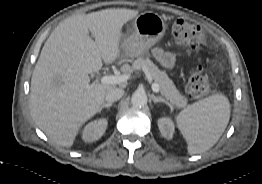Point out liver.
Segmentation results:
<instances>
[{"label":"liver","mask_w":262,"mask_h":184,"mask_svg":"<svg viewBox=\"0 0 262 184\" xmlns=\"http://www.w3.org/2000/svg\"><path fill=\"white\" fill-rule=\"evenodd\" d=\"M137 14L131 9H105L74 15L50 34L32 74L29 105L36 125L55 144L71 147L82 125L115 88L90 84L89 74L99 71L102 61L110 64L120 57L122 27Z\"/></svg>","instance_id":"1"}]
</instances>
